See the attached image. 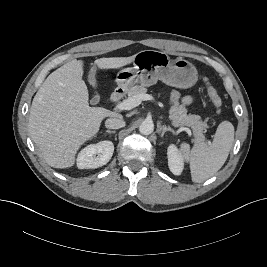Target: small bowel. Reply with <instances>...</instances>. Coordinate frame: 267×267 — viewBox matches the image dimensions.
<instances>
[{
    "instance_id": "1",
    "label": "small bowel",
    "mask_w": 267,
    "mask_h": 267,
    "mask_svg": "<svg viewBox=\"0 0 267 267\" xmlns=\"http://www.w3.org/2000/svg\"><path fill=\"white\" fill-rule=\"evenodd\" d=\"M172 96H173L174 100H177L179 98V95L176 92H174ZM192 100H193V98L191 96H185L181 99L182 103L185 105L190 104L192 102Z\"/></svg>"
}]
</instances>
